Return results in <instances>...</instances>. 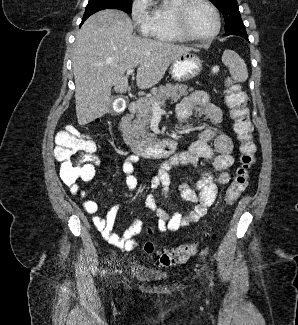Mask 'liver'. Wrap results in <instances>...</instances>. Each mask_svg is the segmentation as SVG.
<instances>
[{"label": "liver", "instance_id": "1", "mask_svg": "<svg viewBox=\"0 0 298 325\" xmlns=\"http://www.w3.org/2000/svg\"><path fill=\"white\" fill-rule=\"evenodd\" d=\"M197 50L185 44H171L134 36L130 16L116 8L89 16L76 36L73 50L75 104L78 124H88L108 112L111 92L123 94L129 88V68H137L138 88H151L162 80L171 62Z\"/></svg>", "mask_w": 298, "mask_h": 325}]
</instances>
